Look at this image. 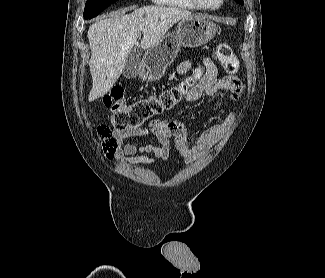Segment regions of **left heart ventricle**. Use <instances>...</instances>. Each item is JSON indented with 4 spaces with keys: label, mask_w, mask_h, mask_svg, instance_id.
<instances>
[{
    "label": "left heart ventricle",
    "mask_w": 325,
    "mask_h": 278,
    "mask_svg": "<svg viewBox=\"0 0 325 278\" xmlns=\"http://www.w3.org/2000/svg\"><path fill=\"white\" fill-rule=\"evenodd\" d=\"M208 6H216L220 0H202Z\"/></svg>",
    "instance_id": "left-heart-ventricle-1"
}]
</instances>
